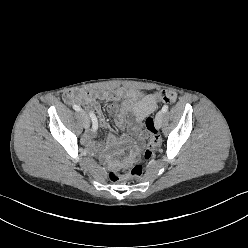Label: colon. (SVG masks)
<instances>
[{
    "instance_id": "obj_1",
    "label": "colon",
    "mask_w": 248,
    "mask_h": 248,
    "mask_svg": "<svg viewBox=\"0 0 248 248\" xmlns=\"http://www.w3.org/2000/svg\"><path fill=\"white\" fill-rule=\"evenodd\" d=\"M155 99L158 102L165 103H175L177 99V95L172 90H161L155 94ZM145 127L149 133V141L147 146L143 150V156L145 159H150L153 155L154 149L159 145L160 138L158 135V129L156 127L155 121L152 117H148L145 120ZM143 173V168L140 164L134 165L130 171L124 175L119 174L115 171L109 172V179L113 182L123 180V179H136L139 178Z\"/></svg>"
}]
</instances>
